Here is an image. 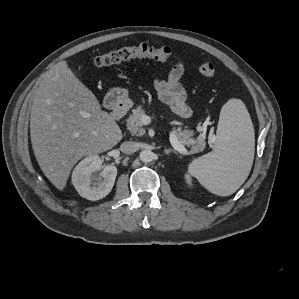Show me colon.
I'll list each match as a JSON object with an SVG mask.
<instances>
[{
    "mask_svg": "<svg viewBox=\"0 0 299 299\" xmlns=\"http://www.w3.org/2000/svg\"><path fill=\"white\" fill-rule=\"evenodd\" d=\"M172 55V49L168 46H153L147 42L121 47L94 58L93 65L97 68L107 67L135 58H150L157 61H166ZM199 72L206 77L215 74L216 68L212 62H202L198 66Z\"/></svg>",
    "mask_w": 299,
    "mask_h": 299,
    "instance_id": "1",
    "label": "colon"
}]
</instances>
